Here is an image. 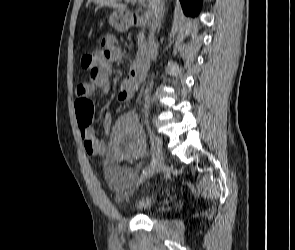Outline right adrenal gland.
I'll list each match as a JSON object with an SVG mask.
<instances>
[{
	"label": "right adrenal gland",
	"mask_w": 295,
	"mask_h": 250,
	"mask_svg": "<svg viewBox=\"0 0 295 250\" xmlns=\"http://www.w3.org/2000/svg\"><path fill=\"white\" fill-rule=\"evenodd\" d=\"M163 17H164V15L162 16V18H161V19H163ZM160 26H161V23L159 24V26H158V29H160Z\"/></svg>",
	"instance_id": "2a0ac1e0"
}]
</instances>
